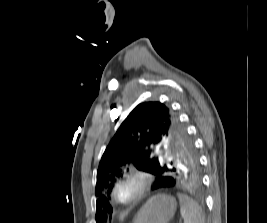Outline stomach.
<instances>
[{"instance_id": "obj_1", "label": "stomach", "mask_w": 267, "mask_h": 223, "mask_svg": "<svg viewBox=\"0 0 267 223\" xmlns=\"http://www.w3.org/2000/svg\"><path fill=\"white\" fill-rule=\"evenodd\" d=\"M176 208L174 197L166 194L155 195L141 207L133 223H169Z\"/></svg>"}]
</instances>
